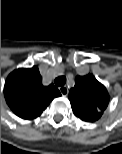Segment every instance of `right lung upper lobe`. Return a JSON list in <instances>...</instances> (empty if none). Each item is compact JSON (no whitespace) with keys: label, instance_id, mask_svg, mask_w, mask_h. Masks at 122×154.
Returning <instances> with one entry per match:
<instances>
[{"label":"right lung upper lobe","instance_id":"1","mask_svg":"<svg viewBox=\"0 0 122 154\" xmlns=\"http://www.w3.org/2000/svg\"><path fill=\"white\" fill-rule=\"evenodd\" d=\"M38 67L17 69L6 79L4 95L8 106L19 117L27 120L41 115L50 102L61 95L53 85L41 84Z\"/></svg>","mask_w":122,"mask_h":154}]
</instances>
